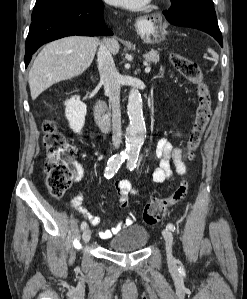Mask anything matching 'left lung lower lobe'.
Masks as SVG:
<instances>
[{
	"mask_svg": "<svg viewBox=\"0 0 247 299\" xmlns=\"http://www.w3.org/2000/svg\"><path fill=\"white\" fill-rule=\"evenodd\" d=\"M163 13L169 23L206 32L213 36L223 47L222 34L217 23L214 7L196 1H188Z\"/></svg>",
	"mask_w": 247,
	"mask_h": 299,
	"instance_id": "obj_1",
	"label": "left lung lower lobe"
}]
</instances>
